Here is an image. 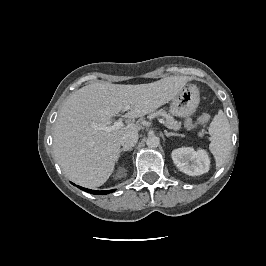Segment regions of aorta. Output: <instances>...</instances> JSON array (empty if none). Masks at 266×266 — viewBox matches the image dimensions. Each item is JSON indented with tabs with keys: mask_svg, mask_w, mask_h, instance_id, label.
Segmentation results:
<instances>
[{
	"mask_svg": "<svg viewBox=\"0 0 266 266\" xmlns=\"http://www.w3.org/2000/svg\"><path fill=\"white\" fill-rule=\"evenodd\" d=\"M146 144L149 148H156L160 144L159 137L152 135L147 138Z\"/></svg>",
	"mask_w": 266,
	"mask_h": 266,
	"instance_id": "1",
	"label": "aorta"
}]
</instances>
